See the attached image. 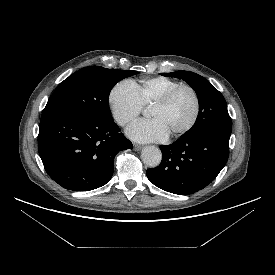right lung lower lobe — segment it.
<instances>
[{"mask_svg":"<svg viewBox=\"0 0 275 275\" xmlns=\"http://www.w3.org/2000/svg\"><path fill=\"white\" fill-rule=\"evenodd\" d=\"M132 143L113 120L83 112H43L38 149L48 175L72 191H90L112 177L114 158Z\"/></svg>","mask_w":275,"mask_h":275,"instance_id":"1","label":"right lung lower lobe"}]
</instances>
